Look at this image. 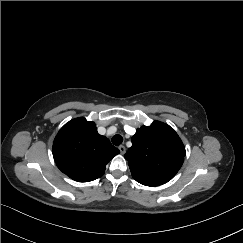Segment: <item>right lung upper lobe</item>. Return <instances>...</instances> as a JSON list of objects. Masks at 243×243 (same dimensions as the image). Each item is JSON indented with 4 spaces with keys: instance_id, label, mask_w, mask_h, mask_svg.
I'll use <instances>...</instances> for the list:
<instances>
[{
    "instance_id": "right-lung-upper-lobe-1",
    "label": "right lung upper lobe",
    "mask_w": 243,
    "mask_h": 243,
    "mask_svg": "<svg viewBox=\"0 0 243 243\" xmlns=\"http://www.w3.org/2000/svg\"><path fill=\"white\" fill-rule=\"evenodd\" d=\"M119 153L108 138L98 134L95 123L83 117L66 123L53 143V157L58 168L78 182L101 177L106 164Z\"/></svg>"
}]
</instances>
